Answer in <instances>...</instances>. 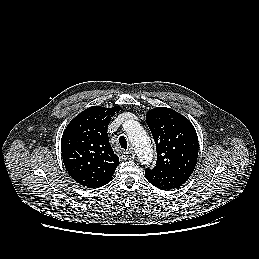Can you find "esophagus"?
<instances>
[{"label":"esophagus","instance_id":"34e87169","mask_svg":"<svg viewBox=\"0 0 259 259\" xmlns=\"http://www.w3.org/2000/svg\"><path fill=\"white\" fill-rule=\"evenodd\" d=\"M120 156L122 159H125V160H130V159H133L135 157V154L133 151H121L120 152Z\"/></svg>","mask_w":259,"mask_h":259}]
</instances>
